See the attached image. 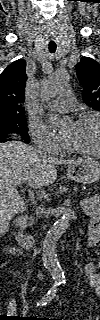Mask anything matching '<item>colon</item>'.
<instances>
[{
  "label": "colon",
  "mask_w": 100,
  "mask_h": 320,
  "mask_svg": "<svg viewBox=\"0 0 100 320\" xmlns=\"http://www.w3.org/2000/svg\"><path fill=\"white\" fill-rule=\"evenodd\" d=\"M89 242L93 246H98L100 244V233L99 227L93 226L90 232Z\"/></svg>",
  "instance_id": "1"
}]
</instances>
